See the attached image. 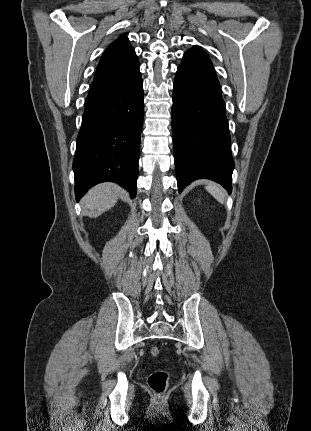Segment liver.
Returning a JSON list of instances; mask_svg holds the SVG:
<instances>
[{"label": "liver", "instance_id": "obj_1", "mask_svg": "<svg viewBox=\"0 0 311 431\" xmlns=\"http://www.w3.org/2000/svg\"><path fill=\"white\" fill-rule=\"evenodd\" d=\"M121 188L116 184H99L92 188L86 194L83 200V206L86 210H90L89 216L95 217L99 212H106L115 206L118 196H120Z\"/></svg>", "mask_w": 311, "mask_h": 431}]
</instances>
